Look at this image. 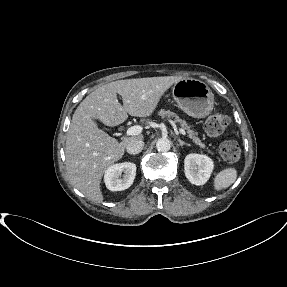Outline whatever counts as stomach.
<instances>
[{"mask_svg":"<svg viewBox=\"0 0 287 287\" xmlns=\"http://www.w3.org/2000/svg\"><path fill=\"white\" fill-rule=\"evenodd\" d=\"M178 107L189 116L204 118L214 107V94L206 83L193 79H181L172 87Z\"/></svg>","mask_w":287,"mask_h":287,"instance_id":"1","label":"stomach"}]
</instances>
